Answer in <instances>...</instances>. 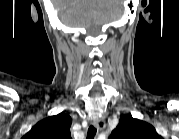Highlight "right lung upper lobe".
<instances>
[{
  "label": "right lung upper lobe",
  "instance_id": "1",
  "mask_svg": "<svg viewBox=\"0 0 179 139\" xmlns=\"http://www.w3.org/2000/svg\"><path fill=\"white\" fill-rule=\"evenodd\" d=\"M69 115L60 113L38 122L23 138L24 139H71Z\"/></svg>",
  "mask_w": 179,
  "mask_h": 139
}]
</instances>
